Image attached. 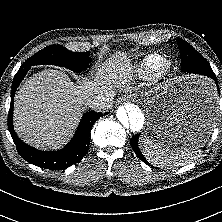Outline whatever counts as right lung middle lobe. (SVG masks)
I'll list each match as a JSON object with an SVG mask.
<instances>
[{"label":"right lung middle lobe","instance_id":"1","mask_svg":"<svg viewBox=\"0 0 222 222\" xmlns=\"http://www.w3.org/2000/svg\"><path fill=\"white\" fill-rule=\"evenodd\" d=\"M89 56V53L69 51L62 45H51L34 54L23 64L28 66L54 64L64 66L74 72L80 73L88 68L91 62Z\"/></svg>","mask_w":222,"mask_h":222}]
</instances>
